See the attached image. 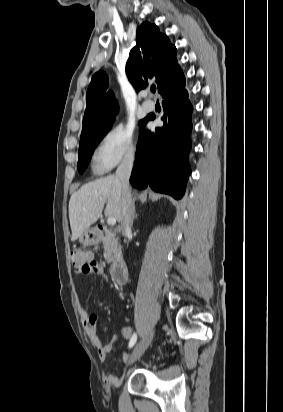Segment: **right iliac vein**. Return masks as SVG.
<instances>
[{
	"mask_svg": "<svg viewBox=\"0 0 283 412\" xmlns=\"http://www.w3.org/2000/svg\"><path fill=\"white\" fill-rule=\"evenodd\" d=\"M154 335V329L150 330L145 337H143L138 344L135 346L131 356H130V363H133L135 360L139 359L142 354L145 352V350L147 349V347L149 346V344L152 341Z\"/></svg>",
	"mask_w": 283,
	"mask_h": 412,
	"instance_id": "63e3f726",
	"label": "right iliac vein"
}]
</instances>
